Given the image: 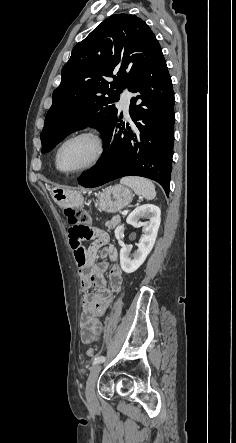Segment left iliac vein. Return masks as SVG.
I'll list each match as a JSON object with an SVG mask.
<instances>
[{"mask_svg":"<svg viewBox=\"0 0 236 443\" xmlns=\"http://www.w3.org/2000/svg\"><path fill=\"white\" fill-rule=\"evenodd\" d=\"M101 370V366L99 364L94 365L91 368L90 374L86 383V391L85 396L88 403V406L91 411L95 412L97 410V399L95 395V386Z\"/></svg>","mask_w":236,"mask_h":443,"instance_id":"obj_1","label":"left iliac vein"}]
</instances>
